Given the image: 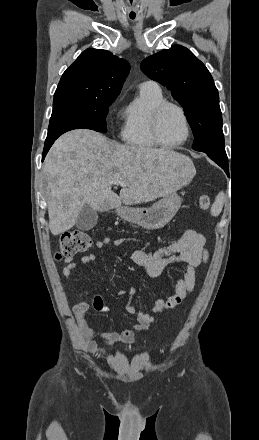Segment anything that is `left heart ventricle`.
Segmentation results:
<instances>
[{
    "label": "left heart ventricle",
    "instance_id": "b2bd125f",
    "mask_svg": "<svg viewBox=\"0 0 259 440\" xmlns=\"http://www.w3.org/2000/svg\"><path fill=\"white\" fill-rule=\"evenodd\" d=\"M160 137L167 144L182 141L186 128L182 116L175 108H168L162 115L159 127Z\"/></svg>",
    "mask_w": 259,
    "mask_h": 440
}]
</instances>
